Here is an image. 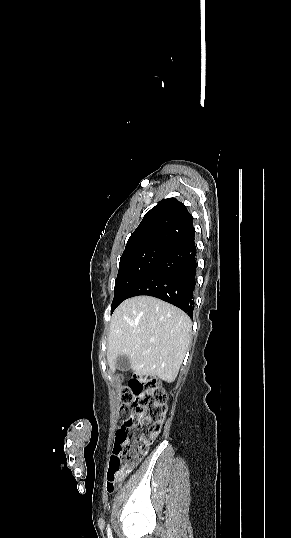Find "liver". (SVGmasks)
<instances>
[{"label": "liver", "mask_w": 291, "mask_h": 538, "mask_svg": "<svg viewBox=\"0 0 291 538\" xmlns=\"http://www.w3.org/2000/svg\"><path fill=\"white\" fill-rule=\"evenodd\" d=\"M192 322L179 308L150 296L122 302L112 315L107 360L126 355L139 376L171 382L178 375L190 344Z\"/></svg>", "instance_id": "liver-1"}]
</instances>
